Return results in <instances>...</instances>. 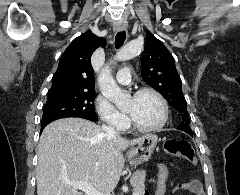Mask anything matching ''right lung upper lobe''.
I'll return each instance as SVG.
<instances>
[{"label": "right lung upper lobe", "instance_id": "right-lung-upper-lobe-1", "mask_svg": "<svg viewBox=\"0 0 240 195\" xmlns=\"http://www.w3.org/2000/svg\"><path fill=\"white\" fill-rule=\"evenodd\" d=\"M105 40L91 31L75 38L60 58L48 95L64 92H95L91 56Z\"/></svg>", "mask_w": 240, "mask_h": 195}]
</instances>
